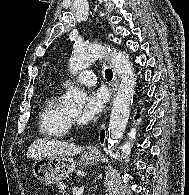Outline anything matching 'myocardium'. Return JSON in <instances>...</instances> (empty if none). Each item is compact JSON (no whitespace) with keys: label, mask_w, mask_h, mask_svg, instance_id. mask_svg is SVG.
<instances>
[{"label":"myocardium","mask_w":189,"mask_h":195,"mask_svg":"<svg viewBox=\"0 0 189 195\" xmlns=\"http://www.w3.org/2000/svg\"><path fill=\"white\" fill-rule=\"evenodd\" d=\"M69 118L71 123H75L76 117L69 113Z\"/></svg>","instance_id":"obj_1"}]
</instances>
